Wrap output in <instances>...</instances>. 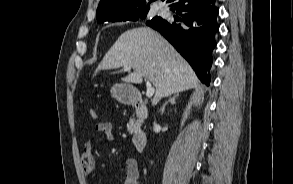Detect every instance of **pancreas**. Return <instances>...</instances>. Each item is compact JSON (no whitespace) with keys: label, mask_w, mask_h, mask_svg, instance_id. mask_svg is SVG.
<instances>
[{"label":"pancreas","mask_w":293,"mask_h":184,"mask_svg":"<svg viewBox=\"0 0 293 184\" xmlns=\"http://www.w3.org/2000/svg\"><path fill=\"white\" fill-rule=\"evenodd\" d=\"M139 125V121L131 119L129 124L127 125V130L130 134H133L136 130V126Z\"/></svg>","instance_id":"obj_1"}]
</instances>
